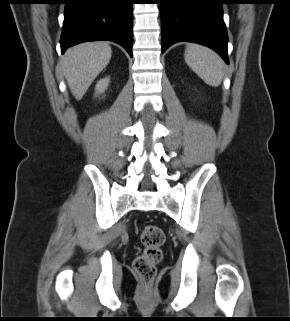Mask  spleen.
Listing matches in <instances>:
<instances>
[{
    "mask_svg": "<svg viewBox=\"0 0 290 321\" xmlns=\"http://www.w3.org/2000/svg\"><path fill=\"white\" fill-rule=\"evenodd\" d=\"M189 67L210 86H219L223 78V62L211 49L200 45H189L185 51Z\"/></svg>",
    "mask_w": 290,
    "mask_h": 321,
    "instance_id": "1",
    "label": "spleen"
}]
</instances>
